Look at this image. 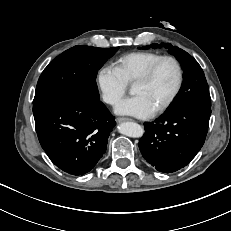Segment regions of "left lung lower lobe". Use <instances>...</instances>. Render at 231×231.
I'll return each mask as SVG.
<instances>
[{
	"label": "left lung lower lobe",
	"instance_id": "left-lung-lower-lobe-1",
	"mask_svg": "<svg viewBox=\"0 0 231 231\" xmlns=\"http://www.w3.org/2000/svg\"><path fill=\"white\" fill-rule=\"evenodd\" d=\"M210 115L209 107L184 105L144 123L145 133L139 141L144 159L163 173L185 167L204 144Z\"/></svg>",
	"mask_w": 231,
	"mask_h": 231
}]
</instances>
